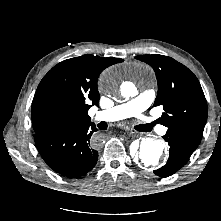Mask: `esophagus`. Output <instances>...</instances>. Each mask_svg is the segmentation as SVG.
Masks as SVG:
<instances>
[{"label": "esophagus", "instance_id": "1", "mask_svg": "<svg viewBox=\"0 0 221 221\" xmlns=\"http://www.w3.org/2000/svg\"><path fill=\"white\" fill-rule=\"evenodd\" d=\"M126 134H127V137H133V136H136V133L133 132V131H127Z\"/></svg>", "mask_w": 221, "mask_h": 221}]
</instances>
